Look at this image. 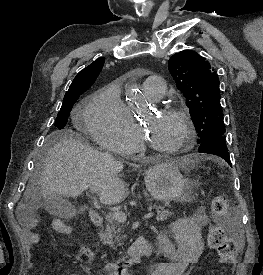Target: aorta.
I'll return each mask as SVG.
<instances>
[{"label":"aorta","mask_w":263,"mask_h":275,"mask_svg":"<svg viewBox=\"0 0 263 275\" xmlns=\"http://www.w3.org/2000/svg\"><path fill=\"white\" fill-rule=\"evenodd\" d=\"M126 96L129 100H135L138 98V88L136 84H130L126 87Z\"/></svg>","instance_id":"aorta-1"}]
</instances>
